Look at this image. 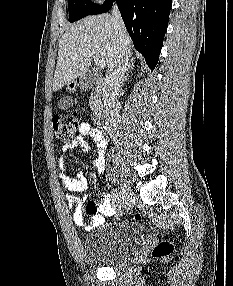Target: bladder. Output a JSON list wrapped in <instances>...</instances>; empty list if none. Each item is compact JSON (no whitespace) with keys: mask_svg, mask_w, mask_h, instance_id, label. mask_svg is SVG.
Returning a JSON list of instances; mask_svg holds the SVG:
<instances>
[{"mask_svg":"<svg viewBox=\"0 0 233 286\" xmlns=\"http://www.w3.org/2000/svg\"><path fill=\"white\" fill-rule=\"evenodd\" d=\"M144 235L142 225L134 221L100 228L83 242V258L95 267H120L136 254Z\"/></svg>","mask_w":233,"mask_h":286,"instance_id":"1","label":"bladder"}]
</instances>
